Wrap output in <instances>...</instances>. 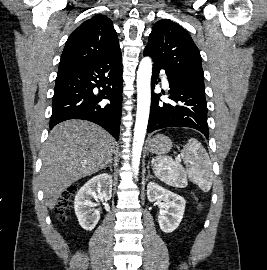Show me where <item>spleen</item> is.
Listing matches in <instances>:
<instances>
[{
	"label": "spleen",
	"instance_id": "3e777b00",
	"mask_svg": "<svg viewBox=\"0 0 267 270\" xmlns=\"http://www.w3.org/2000/svg\"><path fill=\"white\" fill-rule=\"evenodd\" d=\"M181 157L186 164V170L178 160L171 157H157L153 159L155 175L162 181L175 187H185L187 176L204 192L212 186V163L202 144L195 138H190L184 146Z\"/></svg>",
	"mask_w": 267,
	"mask_h": 270
}]
</instances>
